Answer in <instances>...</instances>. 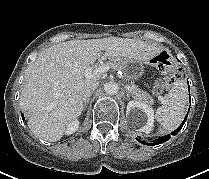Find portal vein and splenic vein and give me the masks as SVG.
Returning a JSON list of instances; mask_svg holds the SVG:
<instances>
[{
	"instance_id": "18ae733b",
	"label": "portal vein and splenic vein",
	"mask_w": 209,
	"mask_h": 179,
	"mask_svg": "<svg viewBox=\"0 0 209 179\" xmlns=\"http://www.w3.org/2000/svg\"><path fill=\"white\" fill-rule=\"evenodd\" d=\"M108 69H109V66L107 64L100 65V66L96 67L95 69H93L92 67H88L85 70V76L89 78V77H92L93 75L104 73V72L108 71ZM127 89L129 91L132 90V88L129 86L127 87ZM159 100L161 102H164L163 97H159Z\"/></svg>"
}]
</instances>
